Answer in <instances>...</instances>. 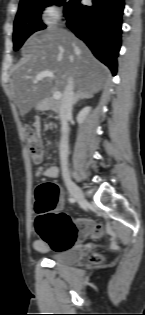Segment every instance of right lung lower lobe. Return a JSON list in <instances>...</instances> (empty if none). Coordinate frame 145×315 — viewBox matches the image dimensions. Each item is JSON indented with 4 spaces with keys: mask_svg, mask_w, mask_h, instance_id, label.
I'll use <instances>...</instances> for the list:
<instances>
[{
    "mask_svg": "<svg viewBox=\"0 0 145 315\" xmlns=\"http://www.w3.org/2000/svg\"><path fill=\"white\" fill-rule=\"evenodd\" d=\"M92 2V6H84L80 0H72L64 11L66 24L115 75L121 46L124 0Z\"/></svg>",
    "mask_w": 145,
    "mask_h": 315,
    "instance_id": "right-lung-lower-lobe-1",
    "label": "right lung lower lobe"
}]
</instances>
